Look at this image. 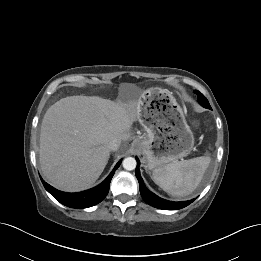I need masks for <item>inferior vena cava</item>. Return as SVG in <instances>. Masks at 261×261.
I'll list each match as a JSON object with an SVG mask.
<instances>
[{
    "label": "inferior vena cava",
    "instance_id": "1",
    "mask_svg": "<svg viewBox=\"0 0 261 261\" xmlns=\"http://www.w3.org/2000/svg\"><path fill=\"white\" fill-rule=\"evenodd\" d=\"M120 145V141L118 139H112L109 143H108V148L110 151H116L118 149Z\"/></svg>",
    "mask_w": 261,
    "mask_h": 261
}]
</instances>
